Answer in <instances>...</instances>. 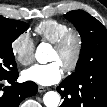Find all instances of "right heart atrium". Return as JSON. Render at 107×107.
Masks as SVG:
<instances>
[{
    "label": "right heart atrium",
    "mask_w": 107,
    "mask_h": 107,
    "mask_svg": "<svg viewBox=\"0 0 107 107\" xmlns=\"http://www.w3.org/2000/svg\"><path fill=\"white\" fill-rule=\"evenodd\" d=\"M11 51L15 59L22 65L33 62L35 55V44L28 32H22L14 38L11 43Z\"/></svg>",
    "instance_id": "right-heart-atrium-1"
}]
</instances>
